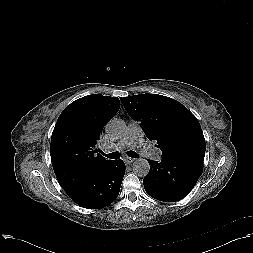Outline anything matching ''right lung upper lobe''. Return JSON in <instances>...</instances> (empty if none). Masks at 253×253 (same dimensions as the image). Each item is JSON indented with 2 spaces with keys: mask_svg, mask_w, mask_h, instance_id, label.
<instances>
[{
  "mask_svg": "<svg viewBox=\"0 0 253 253\" xmlns=\"http://www.w3.org/2000/svg\"><path fill=\"white\" fill-rule=\"evenodd\" d=\"M119 108L118 98L93 94L72 102L60 114L52 133L50 154L56 178L65 192L111 163L96 144L105 123Z\"/></svg>",
  "mask_w": 253,
  "mask_h": 253,
  "instance_id": "right-lung-upper-lobe-1",
  "label": "right lung upper lobe"
}]
</instances>
